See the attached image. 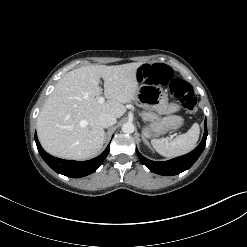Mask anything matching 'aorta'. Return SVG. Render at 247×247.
<instances>
[{"label": "aorta", "mask_w": 247, "mask_h": 247, "mask_svg": "<svg viewBox=\"0 0 247 247\" xmlns=\"http://www.w3.org/2000/svg\"><path fill=\"white\" fill-rule=\"evenodd\" d=\"M134 129H135V127H134L133 123H131V122H126L122 125V131L124 133H128V134L133 133Z\"/></svg>", "instance_id": "obj_1"}]
</instances>
